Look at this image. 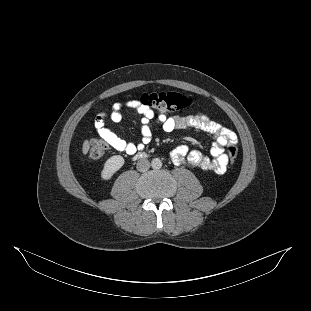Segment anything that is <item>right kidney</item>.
Here are the masks:
<instances>
[{"label":"right kidney","mask_w":311,"mask_h":311,"mask_svg":"<svg viewBox=\"0 0 311 311\" xmlns=\"http://www.w3.org/2000/svg\"><path fill=\"white\" fill-rule=\"evenodd\" d=\"M123 158L121 156L111 157L105 164V169L103 171V177L109 178L112 173L117 171L123 165Z\"/></svg>","instance_id":"1"}]
</instances>
